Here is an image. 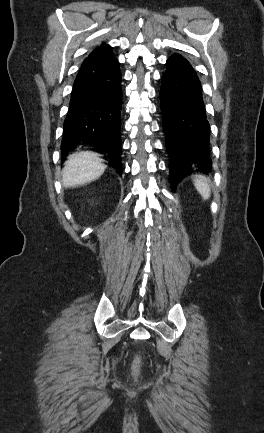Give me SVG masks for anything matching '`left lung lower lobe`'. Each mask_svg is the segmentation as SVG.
Here are the masks:
<instances>
[{
	"label": "left lung lower lobe",
	"instance_id": "0a47b994",
	"mask_svg": "<svg viewBox=\"0 0 264 433\" xmlns=\"http://www.w3.org/2000/svg\"><path fill=\"white\" fill-rule=\"evenodd\" d=\"M160 90L163 129L169 155L171 186L184 177L211 170L209 156L210 125L207 120L200 80L181 55L168 58Z\"/></svg>",
	"mask_w": 264,
	"mask_h": 433
}]
</instances>
